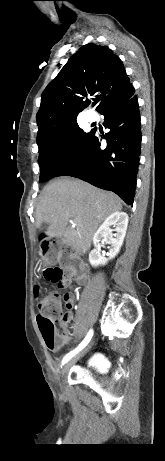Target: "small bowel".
I'll use <instances>...</instances> for the list:
<instances>
[{
	"label": "small bowel",
	"mask_w": 165,
	"mask_h": 461,
	"mask_svg": "<svg viewBox=\"0 0 165 461\" xmlns=\"http://www.w3.org/2000/svg\"><path fill=\"white\" fill-rule=\"evenodd\" d=\"M81 260V256H62V260H58V267L61 268V274L65 282V286L67 284V280H72V278H77L79 282H82L85 279V276L82 275V271H88L90 265L89 263H81ZM61 297L64 309L74 308L76 301L72 291H62ZM72 320L73 313L70 310L66 313H62L61 320L59 321L62 332L58 335L59 340L53 350L57 351L69 344L71 341L69 324Z\"/></svg>",
	"instance_id": "c3829d8e"
}]
</instances>
